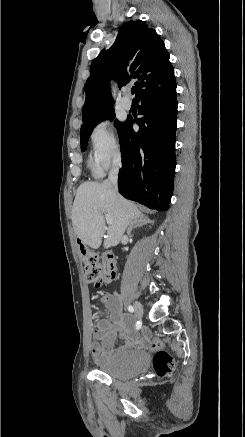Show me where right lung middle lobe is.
Masks as SVG:
<instances>
[{
  "mask_svg": "<svg viewBox=\"0 0 245 437\" xmlns=\"http://www.w3.org/2000/svg\"><path fill=\"white\" fill-rule=\"evenodd\" d=\"M114 117H115V112H114V108H112L102 113L96 120L90 122L87 125L82 126L80 130L81 149L82 150L86 149L91 132L100 121H103L105 119H113ZM124 123L125 122H119L117 119L115 120V126L117 128L118 133L122 129Z\"/></svg>",
  "mask_w": 245,
  "mask_h": 437,
  "instance_id": "dd1d6c3e",
  "label": "right lung middle lobe"
}]
</instances>
